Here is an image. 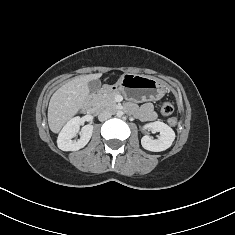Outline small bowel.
Returning <instances> with one entry per match:
<instances>
[{
  "label": "small bowel",
  "instance_id": "obj_1",
  "mask_svg": "<svg viewBox=\"0 0 235 235\" xmlns=\"http://www.w3.org/2000/svg\"><path fill=\"white\" fill-rule=\"evenodd\" d=\"M138 116L143 121H152L155 119V112L153 110V106L150 103H146L141 106L138 111Z\"/></svg>",
  "mask_w": 235,
  "mask_h": 235
}]
</instances>
